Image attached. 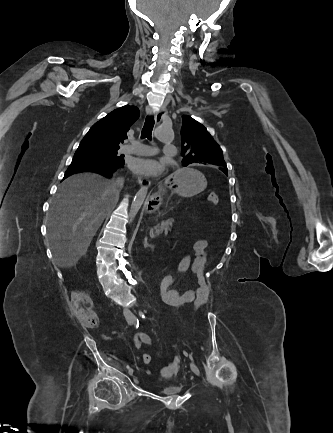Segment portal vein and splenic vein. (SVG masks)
Segmentation results:
<instances>
[{
    "mask_svg": "<svg viewBox=\"0 0 333 433\" xmlns=\"http://www.w3.org/2000/svg\"><path fill=\"white\" fill-rule=\"evenodd\" d=\"M159 234V231L152 229L151 230V237L155 238Z\"/></svg>",
    "mask_w": 333,
    "mask_h": 433,
    "instance_id": "portal-vein-and-splenic-vein-1",
    "label": "portal vein and splenic vein"
}]
</instances>
